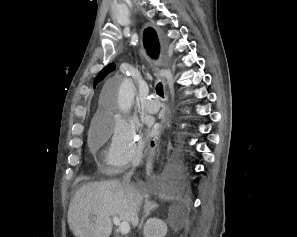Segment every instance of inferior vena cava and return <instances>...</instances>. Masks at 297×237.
<instances>
[{
	"mask_svg": "<svg viewBox=\"0 0 297 237\" xmlns=\"http://www.w3.org/2000/svg\"><path fill=\"white\" fill-rule=\"evenodd\" d=\"M133 174V171H130L128 174H126L123 178V181H122V185L123 187L125 188L127 194L134 199V204L136 206V209L137 211L139 210L140 208V200L139 198L135 195V192L132 188V186L130 185V177L131 175Z\"/></svg>",
	"mask_w": 297,
	"mask_h": 237,
	"instance_id": "inferior-vena-cava-1",
	"label": "inferior vena cava"
}]
</instances>
